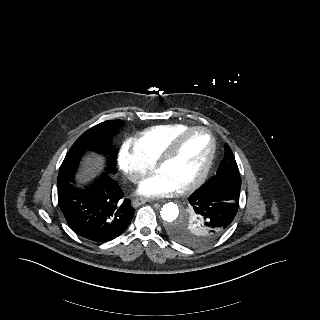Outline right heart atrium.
Returning a JSON list of instances; mask_svg holds the SVG:
<instances>
[{"mask_svg":"<svg viewBox=\"0 0 320 320\" xmlns=\"http://www.w3.org/2000/svg\"><path fill=\"white\" fill-rule=\"evenodd\" d=\"M118 164L123 174L131 182H139L153 167V162L145 158L134 141L123 143L118 156Z\"/></svg>","mask_w":320,"mask_h":320,"instance_id":"1","label":"right heart atrium"}]
</instances>
